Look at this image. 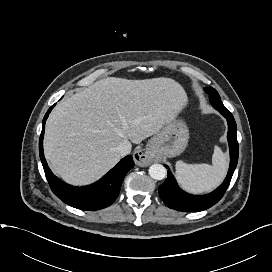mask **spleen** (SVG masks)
Listing matches in <instances>:
<instances>
[{"label": "spleen", "mask_w": 272, "mask_h": 272, "mask_svg": "<svg viewBox=\"0 0 272 272\" xmlns=\"http://www.w3.org/2000/svg\"><path fill=\"white\" fill-rule=\"evenodd\" d=\"M176 176L180 185L192 193H204L217 187L224 179L228 161L222 150L215 146L212 165L176 162Z\"/></svg>", "instance_id": "obj_1"}]
</instances>
